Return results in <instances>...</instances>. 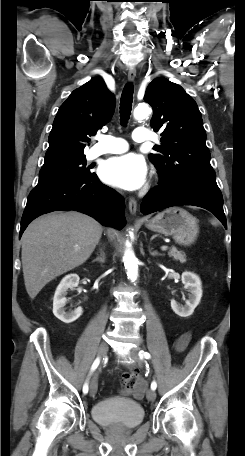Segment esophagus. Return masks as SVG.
<instances>
[{"instance_id": "obj_1", "label": "esophagus", "mask_w": 245, "mask_h": 456, "mask_svg": "<svg viewBox=\"0 0 245 456\" xmlns=\"http://www.w3.org/2000/svg\"><path fill=\"white\" fill-rule=\"evenodd\" d=\"M136 77V69L130 68L128 70V80L133 81ZM129 211L132 215H134L137 211V201L134 198H130L128 202Z\"/></svg>"}]
</instances>
